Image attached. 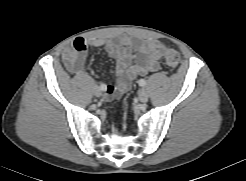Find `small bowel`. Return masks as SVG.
<instances>
[{
  "label": "small bowel",
  "instance_id": "small-bowel-1",
  "mask_svg": "<svg viewBox=\"0 0 246 181\" xmlns=\"http://www.w3.org/2000/svg\"><path fill=\"white\" fill-rule=\"evenodd\" d=\"M103 49L116 62V85H105V93L119 98L126 93L137 76L158 71L165 45L158 40L118 35L112 40L76 38L63 53L65 67L75 75L83 73L87 49Z\"/></svg>",
  "mask_w": 246,
  "mask_h": 181
}]
</instances>
